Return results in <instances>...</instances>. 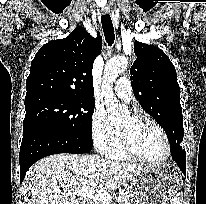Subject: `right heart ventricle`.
I'll return each instance as SVG.
<instances>
[{
    "label": "right heart ventricle",
    "instance_id": "right-heart-ventricle-1",
    "mask_svg": "<svg viewBox=\"0 0 206 204\" xmlns=\"http://www.w3.org/2000/svg\"><path fill=\"white\" fill-rule=\"evenodd\" d=\"M104 155L112 160H118V161H128L132 160L131 158L122 148V145L120 143L119 134L117 131V136L112 143V145L104 152Z\"/></svg>",
    "mask_w": 206,
    "mask_h": 204
}]
</instances>
